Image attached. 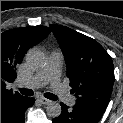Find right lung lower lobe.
Returning a JSON list of instances; mask_svg holds the SVG:
<instances>
[{
	"label": "right lung lower lobe",
	"mask_w": 123,
	"mask_h": 123,
	"mask_svg": "<svg viewBox=\"0 0 123 123\" xmlns=\"http://www.w3.org/2000/svg\"><path fill=\"white\" fill-rule=\"evenodd\" d=\"M34 101V98L22 97L2 103L1 123H24L25 111Z\"/></svg>",
	"instance_id": "98d812e1"
}]
</instances>
